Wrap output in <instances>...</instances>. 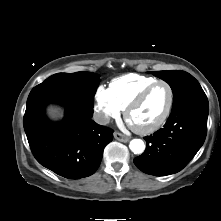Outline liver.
Returning a JSON list of instances; mask_svg holds the SVG:
<instances>
[{
  "label": "liver",
  "instance_id": "1",
  "mask_svg": "<svg viewBox=\"0 0 221 221\" xmlns=\"http://www.w3.org/2000/svg\"><path fill=\"white\" fill-rule=\"evenodd\" d=\"M49 114L54 119L61 118L63 116V114L59 108H50Z\"/></svg>",
  "mask_w": 221,
  "mask_h": 221
}]
</instances>
